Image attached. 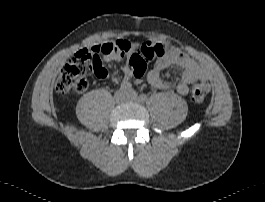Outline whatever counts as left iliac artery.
<instances>
[{"instance_id": "44dca946", "label": "left iliac artery", "mask_w": 265, "mask_h": 202, "mask_svg": "<svg viewBox=\"0 0 265 202\" xmlns=\"http://www.w3.org/2000/svg\"><path fill=\"white\" fill-rule=\"evenodd\" d=\"M140 101L145 102L147 100V96L145 94H141L139 96Z\"/></svg>"}]
</instances>
